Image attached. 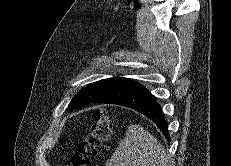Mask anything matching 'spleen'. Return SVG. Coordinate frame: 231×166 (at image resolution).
Returning <instances> with one entry per match:
<instances>
[{
  "label": "spleen",
  "mask_w": 231,
  "mask_h": 166,
  "mask_svg": "<svg viewBox=\"0 0 231 166\" xmlns=\"http://www.w3.org/2000/svg\"><path fill=\"white\" fill-rule=\"evenodd\" d=\"M106 166H169V155L143 127L130 125Z\"/></svg>",
  "instance_id": "1"
}]
</instances>
